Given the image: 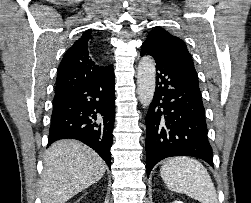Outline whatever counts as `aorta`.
Listing matches in <instances>:
<instances>
[{
  "label": "aorta",
  "instance_id": "762f6f07",
  "mask_svg": "<svg viewBox=\"0 0 251 203\" xmlns=\"http://www.w3.org/2000/svg\"><path fill=\"white\" fill-rule=\"evenodd\" d=\"M156 86L155 61L150 56L141 58L137 69V92L140 103L148 107L154 97Z\"/></svg>",
  "mask_w": 251,
  "mask_h": 203
}]
</instances>
